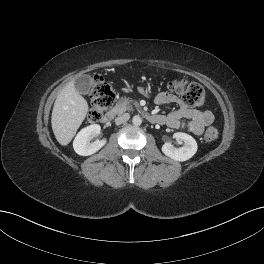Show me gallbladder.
Returning a JSON list of instances; mask_svg holds the SVG:
<instances>
[{
    "instance_id": "gallbladder-1",
    "label": "gallbladder",
    "mask_w": 264,
    "mask_h": 264,
    "mask_svg": "<svg viewBox=\"0 0 264 264\" xmlns=\"http://www.w3.org/2000/svg\"><path fill=\"white\" fill-rule=\"evenodd\" d=\"M92 84H93V80L91 76L83 75L75 80L74 85L79 93L86 95L90 92Z\"/></svg>"
}]
</instances>
